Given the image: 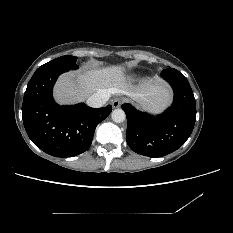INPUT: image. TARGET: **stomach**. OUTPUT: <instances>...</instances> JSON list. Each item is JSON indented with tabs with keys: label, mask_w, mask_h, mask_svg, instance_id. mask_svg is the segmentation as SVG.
<instances>
[{
	"label": "stomach",
	"mask_w": 233,
	"mask_h": 233,
	"mask_svg": "<svg viewBox=\"0 0 233 233\" xmlns=\"http://www.w3.org/2000/svg\"><path fill=\"white\" fill-rule=\"evenodd\" d=\"M147 108L152 112H158L159 111V109L155 108V107H147Z\"/></svg>",
	"instance_id": "1"
}]
</instances>
